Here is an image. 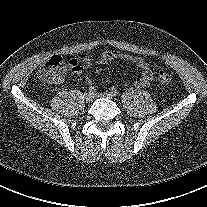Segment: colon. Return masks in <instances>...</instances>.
Segmentation results:
<instances>
[{"instance_id":"obj_1","label":"colon","mask_w":207,"mask_h":207,"mask_svg":"<svg viewBox=\"0 0 207 207\" xmlns=\"http://www.w3.org/2000/svg\"><path fill=\"white\" fill-rule=\"evenodd\" d=\"M68 67V63L63 58L53 56L39 70L37 77L44 84H54L57 83ZM157 77L162 84H169L172 80L171 74L165 70H159Z\"/></svg>"}]
</instances>
